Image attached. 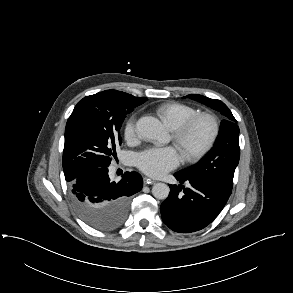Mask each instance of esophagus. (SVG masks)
<instances>
[{
    "instance_id": "esophagus-1",
    "label": "esophagus",
    "mask_w": 293,
    "mask_h": 293,
    "mask_svg": "<svg viewBox=\"0 0 293 293\" xmlns=\"http://www.w3.org/2000/svg\"><path fill=\"white\" fill-rule=\"evenodd\" d=\"M144 182H145V184H153L156 181L152 178L145 177Z\"/></svg>"
}]
</instances>
